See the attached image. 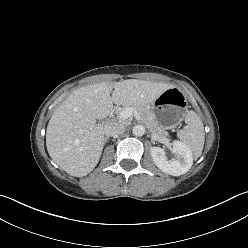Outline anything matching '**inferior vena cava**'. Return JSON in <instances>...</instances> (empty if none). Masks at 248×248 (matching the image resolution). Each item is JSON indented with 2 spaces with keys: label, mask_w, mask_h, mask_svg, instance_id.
<instances>
[{
  "label": "inferior vena cava",
  "mask_w": 248,
  "mask_h": 248,
  "mask_svg": "<svg viewBox=\"0 0 248 248\" xmlns=\"http://www.w3.org/2000/svg\"><path fill=\"white\" fill-rule=\"evenodd\" d=\"M125 132V126L118 122H111L104 127L106 136H117Z\"/></svg>",
  "instance_id": "inferior-vena-cava-1"
}]
</instances>
